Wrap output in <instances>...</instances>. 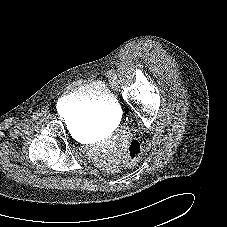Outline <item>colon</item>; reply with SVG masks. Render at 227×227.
I'll use <instances>...</instances> for the list:
<instances>
[{
	"instance_id": "colon-1",
	"label": "colon",
	"mask_w": 227,
	"mask_h": 227,
	"mask_svg": "<svg viewBox=\"0 0 227 227\" xmlns=\"http://www.w3.org/2000/svg\"><path fill=\"white\" fill-rule=\"evenodd\" d=\"M141 153V144L136 140L130 141L128 143L127 164L130 166L136 164L141 156Z\"/></svg>"
}]
</instances>
